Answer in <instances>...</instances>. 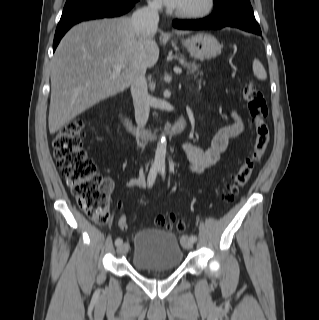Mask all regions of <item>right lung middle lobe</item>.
Masks as SVG:
<instances>
[{
    "instance_id": "dd1d6c3e",
    "label": "right lung middle lobe",
    "mask_w": 319,
    "mask_h": 320,
    "mask_svg": "<svg viewBox=\"0 0 319 320\" xmlns=\"http://www.w3.org/2000/svg\"><path fill=\"white\" fill-rule=\"evenodd\" d=\"M96 1H99V0H67L62 14L72 12L76 9H79L85 5H88Z\"/></svg>"
}]
</instances>
